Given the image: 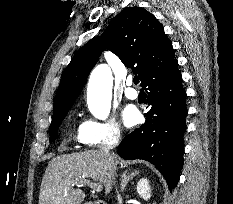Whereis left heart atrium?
Segmentation results:
<instances>
[{
    "label": "left heart atrium",
    "instance_id": "39dd6f15",
    "mask_svg": "<svg viewBox=\"0 0 233 204\" xmlns=\"http://www.w3.org/2000/svg\"><path fill=\"white\" fill-rule=\"evenodd\" d=\"M140 119V113L133 105L126 106L122 111V120L126 127L134 126Z\"/></svg>",
    "mask_w": 233,
    "mask_h": 204
}]
</instances>
